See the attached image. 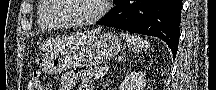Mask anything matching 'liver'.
<instances>
[{"label": "liver", "instance_id": "6515ba94", "mask_svg": "<svg viewBox=\"0 0 216 90\" xmlns=\"http://www.w3.org/2000/svg\"><path fill=\"white\" fill-rule=\"evenodd\" d=\"M91 34H94V32H91ZM82 40H84V36H74V38H72V42H75V44H77V42H82Z\"/></svg>", "mask_w": 216, "mask_h": 90}]
</instances>
